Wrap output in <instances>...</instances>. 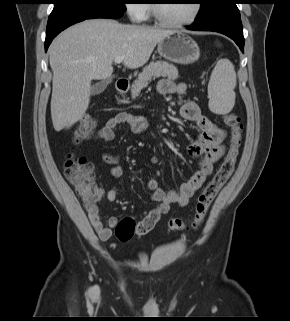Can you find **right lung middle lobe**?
<instances>
[{"label": "right lung middle lobe", "instance_id": "dd1d6c3e", "mask_svg": "<svg viewBox=\"0 0 290 321\" xmlns=\"http://www.w3.org/2000/svg\"><path fill=\"white\" fill-rule=\"evenodd\" d=\"M51 16L60 14H103L126 11L125 0H53Z\"/></svg>", "mask_w": 290, "mask_h": 321}]
</instances>
